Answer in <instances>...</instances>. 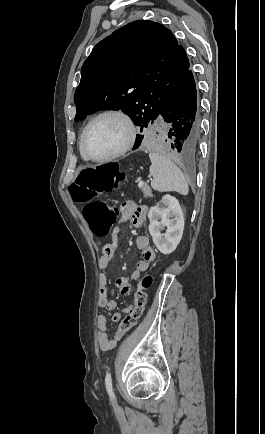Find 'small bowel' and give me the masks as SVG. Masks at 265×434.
<instances>
[{"mask_svg": "<svg viewBox=\"0 0 265 434\" xmlns=\"http://www.w3.org/2000/svg\"><path fill=\"white\" fill-rule=\"evenodd\" d=\"M147 217V209L144 206H139L133 201H125L121 205V219L115 230V235L118 233L120 227L127 222H130L136 229H141L144 225ZM136 246L141 251L142 259L136 264L135 269L131 274V279H138L140 275L146 272L149 268L150 261L155 258V250L150 244L148 236L139 234L136 237ZM116 252L115 243L104 245L102 254L98 261L99 269L101 270L99 276L98 287V306L107 311H113L117 303L109 296V284L110 281L105 273V270L109 266ZM116 287L122 295H128L131 292V284L125 277H119L116 279ZM134 309L132 305H126L123 308V313L129 314ZM122 319L121 312H115L111 315L113 322H119ZM96 324L98 328L97 341L101 351H110L116 347L117 344L112 342V337H109L107 333L108 319L106 315L99 314L96 317Z\"/></svg>", "mask_w": 265, "mask_h": 434, "instance_id": "small-bowel-1", "label": "small bowel"}]
</instances>
